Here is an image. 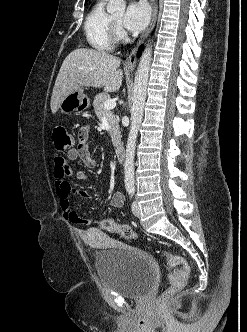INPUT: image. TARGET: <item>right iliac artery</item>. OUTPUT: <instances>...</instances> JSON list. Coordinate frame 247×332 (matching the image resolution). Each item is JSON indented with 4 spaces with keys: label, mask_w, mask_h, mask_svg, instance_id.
<instances>
[{
    "label": "right iliac artery",
    "mask_w": 247,
    "mask_h": 332,
    "mask_svg": "<svg viewBox=\"0 0 247 332\" xmlns=\"http://www.w3.org/2000/svg\"><path fill=\"white\" fill-rule=\"evenodd\" d=\"M130 198L133 196V191H129Z\"/></svg>",
    "instance_id": "1"
}]
</instances>
